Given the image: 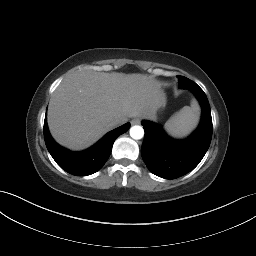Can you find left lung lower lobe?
Instances as JSON below:
<instances>
[{
  "mask_svg": "<svg viewBox=\"0 0 256 256\" xmlns=\"http://www.w3.org/2000/svg\"><path fill=\"white\" fill-rule=\"evenodd\" d=\"M185 88L195 94L202 107L201 123L189 138L172 139L158 125L142 122L145 130L142 158L153 174L165 179L178 178L194 169L207 152L212 138V117L206 94L191 80Z\"/></svg>",
  "mask_w": 256,
  "mask_h": 256,
  "instance_id": "left-lung-lower-lobe-1",
  "label": "left lung lower lobe"
}]
</instances>
